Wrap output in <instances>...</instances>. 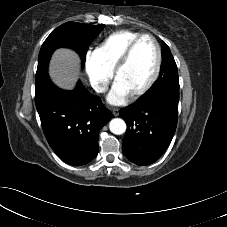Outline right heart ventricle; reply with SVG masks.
I'll return each instance as SVG.
<instances>
[{
    "label": "right heart ventricle",
    "mask_w": 227,
    "mask_h": 227,
    "mask_svg": "<svg viewBox=\"0 0 227 227\" xmlns=\"http://www.w3.org/2000/svg\"><path fill=\"white\" fill-rule=\"evenodd\" d=\"M140 35L141 33L132 30L113 32L98 44L94 54L101 64L112 72L128 45Z\"/></svg>",
    "instance_id": "obj_1"
}]
</instances>
